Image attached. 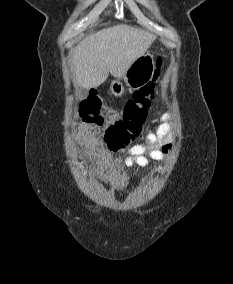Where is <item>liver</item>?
<instances>
[{"instance_id":"obj_1","label":"liver","mask_w":233,"mask_h":284,"mask_svg":"<svg viewBox=\"0 0 233 284\" xmlns=\"http://www.w3.org/2000/svg\"><path fill=\"white\" fill-rule=\"evenodd\" d=\"M156 36L126 24L92 33L73 50L75 84L80 88H97L109 73L121 78L131 64L144 55Z\"/></svg>"}]
</instances>
